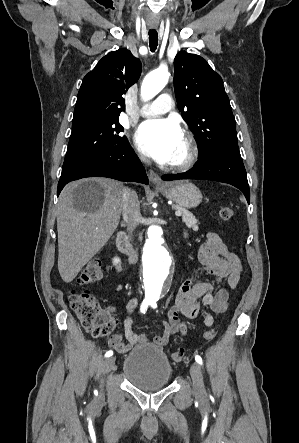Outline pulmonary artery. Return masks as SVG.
Wrapping results in <instances>:
<instances>
[{
  "mask_svg": "<svg viewBox=\"0 0 299 443\" xmlns=\"http://www.w3.org/2000/svg\"><path fill=\"white\" fill-rule=\"evenodd\" d=\"M172 107L173 100L171 95L168 93H162L155 101L145 105L141 109L140 115L144 117L161 115L170 111Z\"/></svg>",
  "mask_w": 299,
  "mask_h": 443,
  "instance_id": "obj_1",
  "label": "pulmonary artery"
}]
</instances>
